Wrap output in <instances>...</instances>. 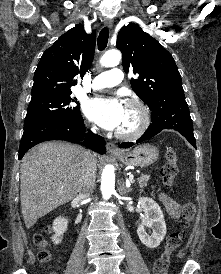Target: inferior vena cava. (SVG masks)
Wrapping results in <instances>:
<instances>
[{
	"instance_id": "inferior-vena-cava-1",
	"label": "inferior vena cava",
	"mask_w": 221,
	"mask_h": 274,
	"mask_svg": "<svg viewBox=\"0 0 221 274\" xmlns=\"http://www.w3.org/2000/svg\"><path fill=\"white\" fill-rule=\"evenodd\" d=\"M96 132V129H92ZM95 179H96V158L95 155L91 152H87L83 164H82V173L79 182V196L82 198H87L91 195L95 188Z\"/></svg>"
}]
</instances>
